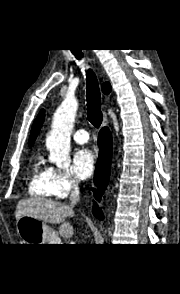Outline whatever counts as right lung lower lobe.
<instances>
[{"instance_id": "1", "label": "right lung lower lobe", "mask_w": 180, "mask_h": 294, "mask_svg": "<svg viewBox=\"0 0 180 294\" xmlns=\"http://www.w3.org/2000/svg\"><path fill=\"white\" fill-rule=\"evenodd\" d=\"M98 145L100 148L99 158L96 164L94 183L98 186V190L93 189L94 196L98 200L99 196L106 189L109 177L112 156V137L108 128L104 127L99 132ZM93 214L100 220L104 219L102 211L94 203Z\"/></svg>"}]
</instances>
